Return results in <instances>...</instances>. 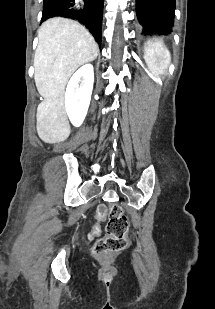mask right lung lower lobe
Wrapping results in <instances>:
<instances>
[{
  "label": "right lung lower lobe",
  "mask_w": 215,
  "mask_h": 309,
  "mask_svg": "<svg viewBox=\"0 0 215 309\" xmlns=\"http://www.w3.org/2000/svg\"><path fill=\"white\" fill-rule=\"evenodd\" d=\"M41 23L52 17L78 20L101 45L104 0H43Z\"/></svg>",
  "instance_id": "obj_1"
}]
</instances>
